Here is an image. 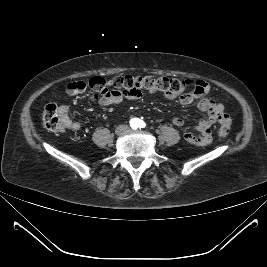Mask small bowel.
<instances>
[{
	"mask_svg": "<svg viewBox=\"0 0 267 267\" xmlns=\"http://www.w3.org/2000/svg\"><path fill=\"white\" fill-rule=\"evenodd\" d=\"M192 89L182 94L173 93L166 94V98L171 100L178 97V102L181 106H187L194 100H198V108L204 113V116L195 125V129L199 135H194L190 132L184 134L187 142L205 146L212 142L211 127L216 123L218 116L223 113L224 106L217 103L207 96L210 87L209 84L203 80L188 83ZM87 87L94 91V98L102 106H116L123 100L124 94L115 89H109L108 83L101 77H94L88 82L78 81L72 82L67 87L69 95H77L82 93ZM131 97V96H130ZM68 107L66 105H59L57 112L62 120L64 129L78 131L82 125L77 120H72L68 115ZM172 124L176 127H181L184 124L182 118L175 116L172 119Z\"/></svg>",
	"mask_w": 267,
	"mask_h": 267,
	"instance_id": "1",
	"label": "small bowel"
}]
</instances>
